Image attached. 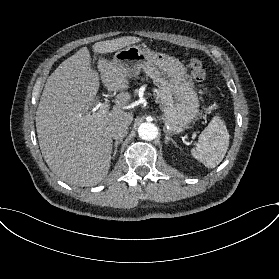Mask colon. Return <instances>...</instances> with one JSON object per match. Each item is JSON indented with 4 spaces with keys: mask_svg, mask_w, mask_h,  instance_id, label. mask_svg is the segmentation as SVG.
<instances>
[{
    "mask_svg": "<svg viewBox=\"0 0 279 279\" xmlns=\"http://www.w3.org/2000/svg\"><path fill=\"white\" fill-rule=\"evenodd\" d=\"M188 67L196 85L201 87L205 83L207 76L206 69L202 62L196 57H191L188 61Z\"/></svg>",
    "mask_w": 279,
    "mask_h": 279,
    "instance_id": "5ec220e1",
    "label": "colon"
}]
</instances>
